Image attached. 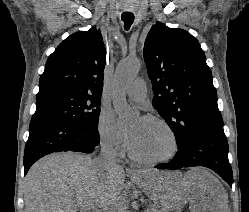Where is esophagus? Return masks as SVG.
Returning a JSON list of instances; mask_svg holds the SVG:
<instances>
[{
    "mask_svg": "<svg viewBox=\"0 0 249 212\" xmlns=\"http://www.w3.org/2000/svg\"><path fill=\"white\" fill-rule=\"evenodd\" d=\"M126 172L131 174V175H135L138 173V171H136V169H134V167L130 166L126 169Z\"/></svg>",
    "mask_w": 249,
    "mask_h": 212,
    "instance_id": "esophagus-1",
    "label": "esophagus"
}]
</instances>
